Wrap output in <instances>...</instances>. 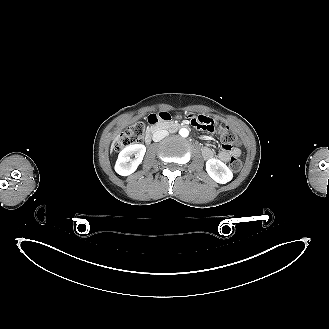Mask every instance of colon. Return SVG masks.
<instances>
[{
  "instance_id": "colon-1",
  "label": "colon",
  "mask_w": 329,
  "mask_h": 329,
  "mask_svg": "<svg viewBox=\"0 0 329 329\" xmlns=\"http://www.w3.org/2000/svg\"><path fill=\"white\" fill-rule=\"evenodd\" d=\"M162 115L165 117H170V114L167 112H162ZM144 131L145 126L142 123L128 127L117 140L115 150L121 151L131 145L139 143L144 134ZM213 132H217V134L220 136L224 148L230 149L239 143L238 136L229 127L219 125V127ZM229 167L235 172L239 171L242 167L241 159L235 156L231 157L229 161Z\"/></svg>"
}]
</instances>
